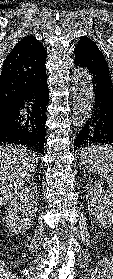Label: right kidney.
<instances>
[{"label": "right kidney", "instance_id": "obj_1", "mask_svg": "<svg viewBox=\"0 0 113 279\" xmlns=\"http://www.w3.org/2000/svg\"><path fill=\"white\" fill-rule=\"evenodd\" d=\"M38 199L39 193L34 186L26 187L13 198L5 216L11 233H24L29 229L36 217Z\"/></svg>", "mask_w": 113, "mask_h": 279}]
</instances>
